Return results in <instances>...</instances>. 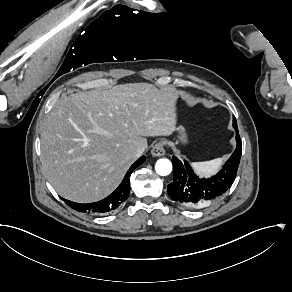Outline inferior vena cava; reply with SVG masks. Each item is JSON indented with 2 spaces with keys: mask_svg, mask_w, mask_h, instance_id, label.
Wrapping results in <instances>:
<instances>
[{
  "mask_svg": "<svg viewBox=\"0 0 292 292\" xmlns=\"http://www.w3.org/2000/svg\"><path fill=\"white\" fill-rule=\"evenodd\" d=\"M144 150H145V147H138V148L136 149L135 156H136L137 158L140 157V156L143 154Z\"/></svg>",
  "mask_w": 292,
  "mask_h": 292,
  "instance_id": "inferior-vena-cava-1",
  "label": "inferior vena cava"
}]
</instances>
